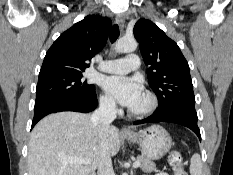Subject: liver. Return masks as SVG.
Here are the masks:
<instances>
[{
	"label": "liver",
	"instance_id": "6515ba94",
	"mask_svg": "<svg viewBox=\"0 0 233 175\" xmlns=\"http://www.w3.org/2000/svg\"><path fill=\"white\" fill-rule=\"evenodd\" d=\"M106 146L110 156L120 149L115 126H109ZM104 142L91 115L58 112L39 121L31 132L28 149L29 175H94ZM70 158H88L89 164L68 163Z\"/></svg>",
	"mask_w": 233,
	"mask_h": 175
}]
</instances>
